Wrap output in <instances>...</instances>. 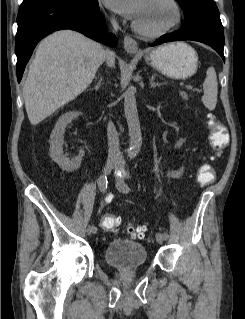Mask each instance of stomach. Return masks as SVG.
Returning a JSON list of instances; mask_svg holds the SVG:
<instances>
[{
    "mask_svg": "<svg viewBox=\"0 0 245 319\" xmlns=\"http://www.w3.org/2000/svg\"><path fill=\"white\" fill-rule=\"evenodd\" d=\"M144 58L156 70L174 79H187L198 68V55L190 45L184 42L169 43L148 50Z\"/></svg>",
    "mask_w": 245,
    "mask_h": 319,
    "instance_id": "0dacf381",
    "label": "stomach"
}]
</instances>
